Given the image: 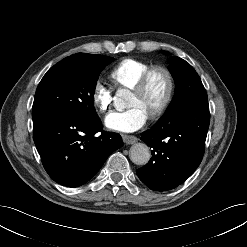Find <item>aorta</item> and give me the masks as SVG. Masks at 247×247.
<instances>
[{"mask_svg":"<svg viewBox=\"0 0 247 247\" xmlns=\"http://www.w3.org/2000/svg\"><path fill=\"white\" fill-rule=\"evenodd\" d=\"M123 94V91H120L117 94V97H121ZM129 156L134 164L145 165L149 162L151 158V153L149 147L146 144L136 143L131 146Z\"/></svg>","mask_w":247,"mask_h":247,"instance_id":"aorta-1","label":"aorta"}]
</instances>
